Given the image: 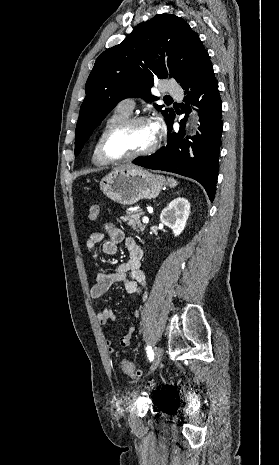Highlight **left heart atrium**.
<instances>
[{"label": "left heart atrium", "mask_w": 279, "mask_h": 465, "mask_svg": "<svg viewBox=\"0 0 279 465\" xmlns=\"http://www.w3.org/2000/svg\"><path fill=\"white\" fill-rule=\"evenodd\" d=\"M152 127H153L155 133H158L160 128H161V123L160 122H155V123L152 124Z\"/></svg>", "instance_id": "obj_1"}]
</instances>
